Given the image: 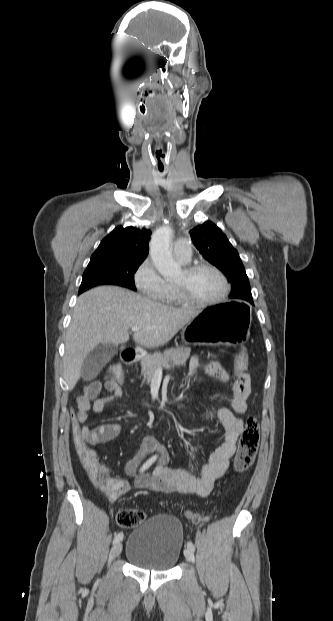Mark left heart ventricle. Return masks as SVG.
Here are the masks:
<instances>
[{
    "label": "left heart ventricle",
    "mask_w": 333,
    "mask_h": 621,
    "mask_svg": "<svg viewBox=\"0 0 333 621\" xmlns=\"http://www.w3.org/2000/svg\"><path fill=\"white\" fill-rule=\"evenodd\" d=\"M174 283L182 284L193 298L199 300L216 298L224 289L220 277L210 270H200L191 275L182 270Z\"/></svg>",
    "instance_id": "b2bd125f"
}]
</instances>
